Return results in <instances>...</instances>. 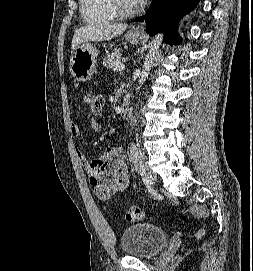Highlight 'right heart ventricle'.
I'll use <instances>...</instances> for the list:
<instances>
[{"label":"right heart ventricle","instance_id":"1","mask_svg":"<svg viewBox=\"0 0 253 271\" xmlns=\"http://www.w3.org/2000/svg\"><path fill=\"white\" fill-rule=\"evenodd\" d=\"M80 12L89 24L108 23L118 18L112 0H79Z\"/></svg>","mask_w":253,"mask_h":271}]
</instances>
